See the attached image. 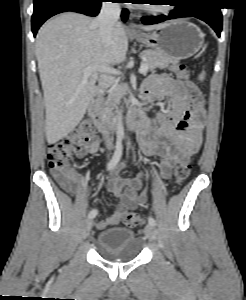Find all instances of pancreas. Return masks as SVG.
Listing matches in <instances>:
<instances>
[{
  "label": "pancreas",
  "instance_id": "1",
  "mask_svg": "<svg viewBox=\"0 0 246 300\" xmlns=\"http://www.w3.org/2000/svg\"><path fill=\"white\" fill-rule=\"evenodd\" d=\"M140 57L142 58V64H146L149 71H154L156 68L164 69L169 67L170 64L176 65L179 62L165 57L161 52L156 50L142 51ZM127 91L126 85H116L105 102L106 110L111 112Z\"/></svg>",
  "mask_w": 246,
  "mask_h": 300
}]
</instances>
